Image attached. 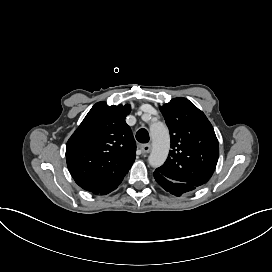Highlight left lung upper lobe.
<instances>
[{
	"mask_svg": "<svg viewBox=\"0 0 272 272\" xmlns=\"http://www.w3.org/2000/svg\"><path fill=\"white\" fill-rule=\"evenodd\" d=\"M169 128V156L156 171L177 182L195 187L205 184L212 176L219 156L214 129L192 102L183 97L172 99L160 107Z\"/></svg>",
	"mask_w": 272,
	"mask_h": 272,
	"instance_id": "left-lung-upper-lobe-1",
	"label": "left lung upper lobe"
}]
</instances>
